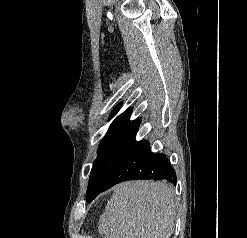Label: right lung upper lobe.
<instances>
[{
	"label": "right lung upper lobe",
	"instance_id": "obj_1",
	"mask_svg": "<svg viewBox=\"0 0 247 238\" xmlns=\"http://www.w3.org/2000/svg\"><path fill=\"white\" fill-rule=\"evenodd\" d=\"M119 109V106L116 107V109L114 110V112L112 113V115H114ZM132 109H128L126 110L124 113H122L120 116H118L112 124L115 123H120V122H130V115H131ZM134 121H138V120H134Z\"/></svg>",
	"mask_w": 247,
	"mask_h": 238
}]
</instances>
